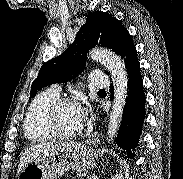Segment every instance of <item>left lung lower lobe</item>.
Segmentation results:
<instances>
[{
    "label": "left lung lower lobe",
    "instance_id": "left-lung-lower-lobe-1",
    "mask_svg": "<svg viewBox=\"0 0 183 179\" xmlns=\"http://www.w3.org/2000/svg\"><path fill=\"white\" fill-rule=\"evenodd\" d=\"M116 54L124 59L128 73L127 101L124 106L123 118L116 138V144L123 150H126L128 157L133 158L135 153H131V150H134L138 146L145 119L146 98L137 52L128 32L122 37Z\"/></svg>",
    "mask_w": 183,
    "mask_h": 179
}]
</instances>
